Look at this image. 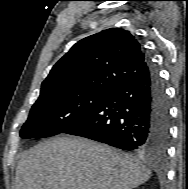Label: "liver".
I'll list each match as a JSON object with an SVG mask.
<instances>
[{
	"mask_svg": "<svg viewBox=\"0 0 188 189\" xmlns=\"http://www.w3.org/2000/svg\"><path fill=\"white\" fill-rule=\"evenodd\" d=\"M150 175L131 155L86 138L63 136L22 155L14 189H133Z\"/></svg>",
	"mask_w": 188,
	"mask_h": 189,
	"instance_id": "1",
	"label": "liver"
}]
</instances>
